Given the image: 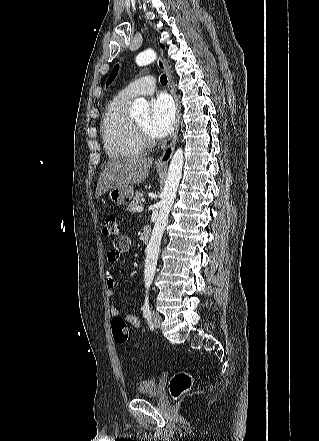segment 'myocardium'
Segmentation results:
<instances>
[{
	"label": "myocardium",
	"instance_id": "myocardium-1",
	"mask_svg": "<svg viewBox=\"0 0 319 441\" xmlns=\"http://www.w3.org/2000/svg\"><path fill=\"white\" fill-rule=\"evenodd\" d=\"M135 127L141 139V142L146 147H152L156 144L155 140L146 132L138 123H135Z\"/></svg>",
	"mask_w": 319,
	"mask_h": 441
}]
</instances>
